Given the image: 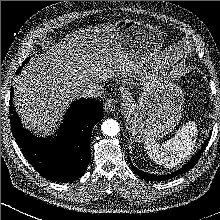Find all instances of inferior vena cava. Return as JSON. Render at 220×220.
Listing matches in <instances>:
<instances>
[{"label":"inferior vena cava","instance_id":"602c4592","mask_svg":"<svg viewBox=\"0 0 220 220\" xmlns=\"http://www.w3.org/2000/svg\"><path fill=\"white\" fill-rule=\"evenodd\" d=\"M103 93V88L101 85L93 84L87 86L85 89L82 90L81 96L82 97H89V98H97L101 96Z\"/></svg>","mask_w":220,"mask_h":220}]
</instances>
